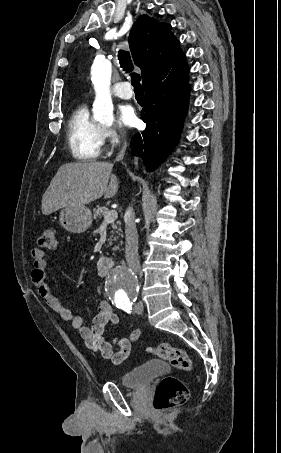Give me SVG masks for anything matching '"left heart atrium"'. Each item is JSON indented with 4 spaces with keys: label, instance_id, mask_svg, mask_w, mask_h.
Instances as JSON below:
<instances>
[{
    "label": "left heart atrium",
    "instance_id": "1",
    "mask_svg": "<svg viewBox=\"0 0 281 453\" xmlns=\"http://www.w3.org/2000/svg\"><path fill=\"white\" fill-rule=\"evenodd\" d=\"M118 119L121 124L127 127H134L138 121L136 110L129 104L123 105L118 111Z\"/></svg>",
    "mask_w": 281,
    "mask_h": 453
}]
</instances>
